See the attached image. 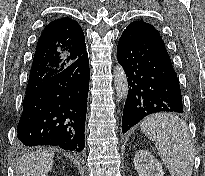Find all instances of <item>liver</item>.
Returning <instances> with one entry per match:
<instances>
[{
	"instance_id": "6515ba94",
	"label": "liver",
	"mask_w": 205,
	"mask_h": 176,
	"mask_svg": "<svg viewBox=\"0 0 205 176\" xmlns=\"http://www.w3.org/2000/svg\"><path fill=\"white\" fill-rule=\"evenodd\" d=\"M54 153L37 150L17 160L16 176H46L52 169Z\"/></svg>"
}]
</instances>
